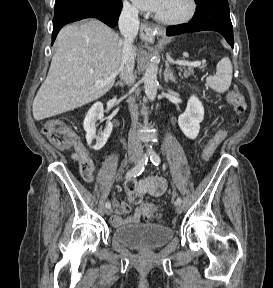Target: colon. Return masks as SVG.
Listing matches in <instances>:
<instances>
[{
	"instance_id": "colon-1",
	"label": "colon",
	"mask_w": 273,
	"mask_h": 288,
	"mask_svg": "<svg viewBox=\"0 0 273 288\" xmlns=\"http://www.w3.org/2000/svg\"><path fill=\"white\" fill-rule=\"evenodd\" d=\"M226 98L237 114H243L246 111L247 106L244 96L237 88L231 89L227 93ZM43 133L48 140L59 149H69L78 141L76 134L59 119H51L45 122ZM226 136L227 129L225 128H221L213 134L203 149L202 157L204 160H208L214 154ZM141 209L144 215L148 218L154 217L156 214V208L151 203H143Z\"/></svg>"
}]
</instances>
